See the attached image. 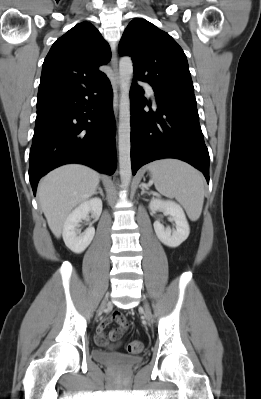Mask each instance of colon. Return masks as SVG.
Masks as SVG:
<instances>
[{
	"instance_id": "5ec220e1",
	"label": "colon",
	"mask_w": 261,
	"mask_h": 399,
	"mask_svg": "<svg viewBox=\"0 0 261 399\" xmlns=\"http://www.w3.org/2000/svg\"><path fill=\"white\" fill-rule=\"evenodd\" d=\"M144 348V344L142 341L140 340H133L130 341L127 346L126 349L130 354H139L142 352Z\"/></svg>"
}]
</instances>
